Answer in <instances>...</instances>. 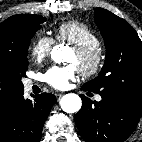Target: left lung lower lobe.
Returning <instances> with one entry per match:
<instances>
[{"mask_svg": "<svg viewBox=\"0 0 142 142\" xmlns=\"http://www.w3.org/2000/svg\"><path fill=\"white\" fill-rule=\"evenodd\" d=\"M80 97L83 105L76 115V124L86 142H123L132 134L142 114V105L130 101L102 96L96 102L84 95Z\"/></svg>", "mask_w": 142, "mask_h": 142, "instance_id": "left-lung-lower-lobe-1", "label": "left lung lower lobe"}]
</instances>
